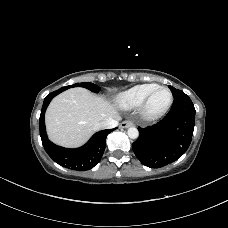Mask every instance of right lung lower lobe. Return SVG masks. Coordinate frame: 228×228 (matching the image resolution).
<instances>
[{
	"mask_svg": "<svg viewBox=\"0 0 228 228\" xmlns=\"http://www.w3.org/2000/svg\"><path fill=\"white\" fill-rule=\"evenodd\" d=\"M61 92V90L54 91L44 99L40 114L42 144L47 154L59 165L72 170H89L100 161L106 147V137L112 130L106 129L95 133L84 146L77 149H67L52 143L46 135L44 115L52 98Z\"/></svg>",
	"mask_w": 228,
	"mask_h": 228,
	"instance_id": "98d812e1",
	"label": "right lung lower lobe"
}]
</instances>
